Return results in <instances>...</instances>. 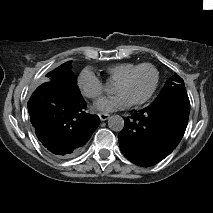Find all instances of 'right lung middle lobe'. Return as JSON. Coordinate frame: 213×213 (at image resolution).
Instances as JSON below:
<instances>
[{"instance_id":"obj_1","label":"right lung middle lobe","mask_w":213,"mask_h":213,"mask_svg":"<svg viewBox=\"0 0 213 213\" xmlns=\"http://www.w3.org/2000/svg\"><path fill=\"white\" fill-rule=\"evenodd\" d=\"M71 62L72 61H68V62L60 65L53 71L49 72L46 75V77H47L46 81L57 82V83L65 85L75 91L80 92L79 88L76 85V76L73 74V72L70 69Z\"/></svg>"}]
</instances>
